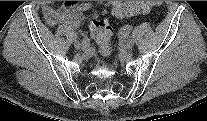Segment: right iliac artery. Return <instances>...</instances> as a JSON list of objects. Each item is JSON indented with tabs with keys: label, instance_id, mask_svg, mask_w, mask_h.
Returning a JSON list of instances; mask_svg holds the SVG:
<instances>
[{
	"label": "right iliac artery",
	"instance_id": "obj_1",
	"mask_svg": "<svg viewBox=\"0 0 207 121\" xmlns=\"http://www.w3.org/2000/svg\"><path fill=\"white\" fill-rule=\"evenodd\" d=\"M89 44H90L89 39H88L87 37H85V38L82 40V46H83L84 48H86V47L89 46Z\"/></svg>",
	"mask_w": 207,
	"mask_h": 121
}]
</instances>
